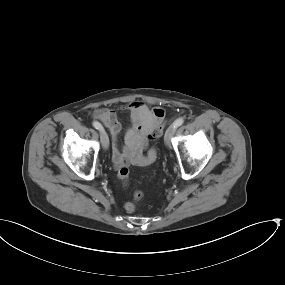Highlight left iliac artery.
I'll list each match as a JSON object with an SVG mask.
<instances>
[{"label": "left iliac artery", "instance_id": "obj_1", "mask_svg": "<svg viewBox=\"0 0 285 285\" xmlns=\"http://www.w3.org/2000/svg\"><path fill=\"white\" fill-rule=\"evenodd\" d=\"M183 123H184V118L180 117L174 121L173 125L177 128L181 126Z\"/></svg>", "mask_w": 285, "mask_h": 285}]
</instances>
